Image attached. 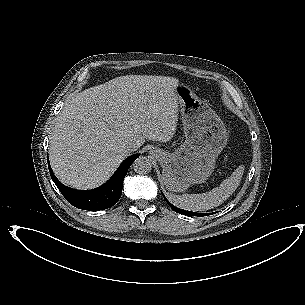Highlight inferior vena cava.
Instances as JSON below:
<instances>
[{"label":"inferior vena cava","mask_w":305,"mask_h":305,"mask_svg":"<svg viewBox=\"0 0 305 305\" xmlns=\"http://www.w3.org/2000/svg\"><path fill=\"white\" fill-rule=\"evenodd\" d=\"M125 150L128 151V152H133V151H136L139 146L134 144V143H127L125 146H124Z\"/></svg>","instance_id":"602c4592"}]
</instances>
